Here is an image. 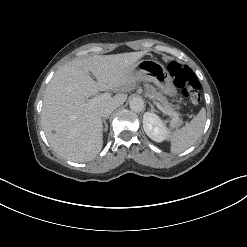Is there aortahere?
I'll return each mask as SVG.
<instances>
[{"mask_svg": "<svg viewBox=\"0 0 247 247\" xmlns=\"http://www.w3.org/2000/svg\"><path fill=\"white\" fill-rule=\"evenodd\" d=\"M129 106L132 111L141 112L144 109V101L140 97H132Z\"/></svg>", "mask_w": 247, "mask_h": 247, "instance_id": "aorta-1", "label": "aorta"}]
</instances>
